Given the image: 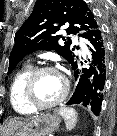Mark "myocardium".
Wrapping results in <instances>:
<instances>
[{"instance_id":"f54148a6","label":"myocardium","mask_w":117,"mask_h":136,"mask_svg":"<svg viewBox=\"0 0 117 136\" xmlns=\"http://www.w3.org/2000/svg\"><path fill=\"white\" fill-rule=\"evenodd\" d=\"M44 72H55L57 73L63 80L64 82V89L62 94L54 101L46 103V104H41L38 103L35 100L34 97V87H35V82L38 78V76ZM70 90V84L69 80L67 77L57 68L53 66H41L37 67L32 70L30 73L29 77L27 78V81L25 83V89H24V97L27 102V104L35 111H40V110H47L50 108H53L59 104H61L67 97L68 93Z\"/></svg>"}]
</instances>
